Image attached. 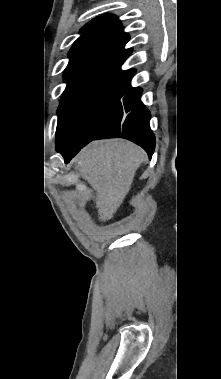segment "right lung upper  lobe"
Here are the masks:
<instances>
[{
	"mask_svg": "<svg viewBox=\"0 0 221 379\" xmlns=\"http://www.w3.org/2000/svg\"><path fill=\"white\" fill-rule=\"evenodd\" d=\"M81 33L69 51L70 61L64 73L65 91L94 81H124L135 73L133 69L121 70L131 51L124 49L129 36L114 15L93 19Z\"/></svg>",
	"mask_w": 221,
	"mask_h": 379,
	"instance_id": "obj_1",
	"label": "right lung upper lobe"
}]
</instances>
